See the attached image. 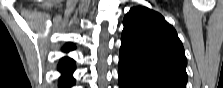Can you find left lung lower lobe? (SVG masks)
Returning <instances> with one entry per match:
<instances>
[{
    "instance_id": "0a47b994",
    "label": "left lung lower lobe",
    "mask_w": 223,
    "mask_h": 88,
    "mask_svg": "<svg viewBox=\"0 0 223 88\" xmlns=\"http://www.w3.org/2000/svg\"><path fill=\"white\" fill-rule=\"evenodd\" d=\"M119 88H174L164 83L149 80L123 66L118 67Z\"/></svg>"
}]
</instances>
